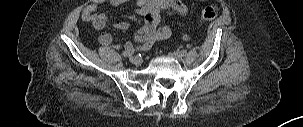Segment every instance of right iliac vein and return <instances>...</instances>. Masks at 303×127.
Listing matches in <instances>:
<instances>
[{"instance_id":"obj_1","label":"right iliac vein","mask_w":303,"mask_h":127,"mask_svg":"<svg viewBox=\"0 0 303 127\" xmlns=\"http://www.w3.org/2000/svg\"><path fill=\"white\" fill-rule=\"evenodd\" d=\"M130 62L135 64V65H139L141 64V59L138 56H131L129 58Z\"/></svg>"}]
</instances>
